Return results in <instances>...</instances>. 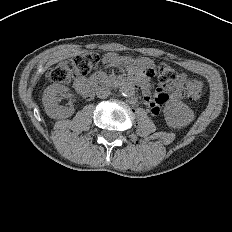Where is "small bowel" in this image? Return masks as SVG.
<instances>
[{"label":"small bowel","instance_id":"c3829d8e","mask_svg":"<svg viewBox=\"0 0 232 232\" xmlns=\"http://www.w3.org/2000/svg\"><path fill=\"white\" fill-rule=\"evenodd\" d=\"M103 63L106 67L113 69L117 66V59L108 55L104 58ZM132 65L135 69L142 72V75L145 78H150L153 75V64L148 59H142L137 57L133 60ZM83 81V79H79L76 82V85ZM191 81L185 74H180L176 80L168 85L166 88H159L154 96L150 93V85L148 80L143 81L146 85L145 89H143L144 100L146 104L149 106L150 110L154 114H158L163 104H165L168 100H177L183 97L186 92V86Z\"/></svg>","mask_w":232,"mask_h":232}]
</instances>
